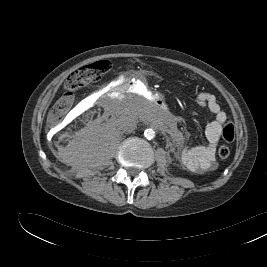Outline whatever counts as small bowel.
I'll list each match as a JSON object with an SVG mask.
<instances>
[{
  "instance_id": "1",
  "label": "small bowel",
  "mask_w": 267,
  "mask_h": 267,
  "mask_svg": "<svg viewBox=\"0 0 267 267\" xmlns=\"http://www.w3.org/2000/svg\"><path fill=\"white\" fill-rule=\"evenodd\" d=\"M196 103L214 115V120L205 129L207 144L194 148H184L179 153L181 163L190 171L201 173L216 166L215 153L228 117L220 107L216 97L208 92H200Z\"/></svg>"
}]
</instances>
